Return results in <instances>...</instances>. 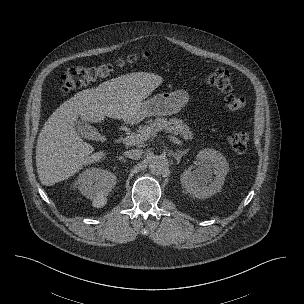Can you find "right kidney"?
<instances>
[{
  "label": "right kidney",
  "instance_id": "1",
  "mask_svg": "<svg viewBox=\"0 0 304 304\" xmlns=\"http://www.w3.org/2000/svg\"><path fill=\"white\" fill-rule=\"evenodd\" d=\"M116 184L114 173L103 168L90 167L75 180V187L87 198L97 202L98 206L106 203V196Z\"/></svg>",
  "mask_w": 304,
  "mask_h": 304
}]
</instances>
